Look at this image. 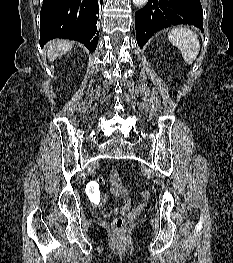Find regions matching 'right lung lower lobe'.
I'll return each mask as SVG.
<instances>
[{
  "instance_id": "1",
  "label": "right lung lower lobe",
  "mask_w": 233,
  "mask_h": 263,
  "mask_svg": "<svg viewBox=\"0 0 233 263\" xmlns=\"http://www.w3.org/2000/svg\"><path fill=\"white\" fill-rule=\"evenodd\" d=\"M103 0H44L40 12V45L53 38L77 40L89 51L97 47V21Z\"/></svg>"
}]
</instances>
